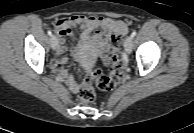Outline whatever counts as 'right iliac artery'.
<instances>
[{
	"label": "right iliac artery",
	"instance_id": "right-iliac-artery-1",
	"mask_svg": "<svg viewBox=\"0 0 194 133\" xmlns=\"http://www.w3.org/2000/svg\"><path fill=\"white\" fill-rule=\"evenodd\" d=\"M48 35H49V36H51V37L53 36V34H52V31H51V30H48Z\"/></svg>",
	"mask_w": 194,
	"mask_h": 133
}]
</instances>
